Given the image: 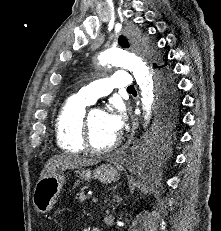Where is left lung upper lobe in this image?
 Listing matches in <instances>:
<instances>
[{
  "mask_svg": "<svg viewBox=\"0 0 221 231\" xmlns=\"http://www.w3.org/2000/svg\"><path fill=\"white\" fill-rule=\"evenodd\" d=\"M118 42L122 47H129V43H128L127 39L125 37H123V36L119 37ZM174 110H175V107H174L172 112L166 114L165 116L158 117L160 126L164 125L168 121H173V119H174Z\"/></svg>",
  "mask_w": 221,
  "mask_h": 231,
  "instance_id": "1",
  "label": "left lung upper lobe"
}]
</instances>
